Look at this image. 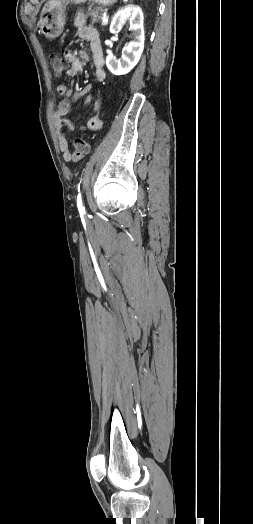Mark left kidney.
Listing matches in <instances>:
<instances>
[{"label":"left kidney","instance_id":"left-kidney-1","mask_svg":"<svg viewBox=\"0 0 253 524\" xmlns=\"http://www.w3.org/2000/svg\"><path fill=\"white\" fill-rule=\"evenodd\" d=\"M126 22L130 23L133 40L126 47V52L120 59L112 54L106 57V66L114 75L130 72L139 62L144 49L143 12L140 7L128 5L119 10L110 25V32L116 33Z\"/></svg>","mask_w":253,"mask_h":524}]
</instances>
